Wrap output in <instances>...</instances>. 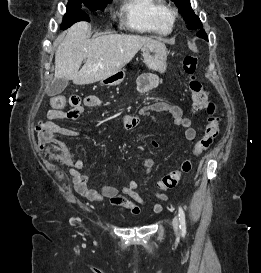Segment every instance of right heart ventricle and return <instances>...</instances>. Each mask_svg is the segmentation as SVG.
<instances>
[{"instance_id":"obj_1","label":"right heart ventricle","mask_w":261,"mask_h":273,"mask_svg":"<svg viewBox=\"0 0 261 273\" xmlns=\"http://www.w3.org/2000/svg\"><path fill=\"white\" fill-rule=\"evenodd\" d=\"M167 8L164 0H124L122 12L132 29L164 35L171 30L165 17Z\"/></svg>"}]
</instances>
